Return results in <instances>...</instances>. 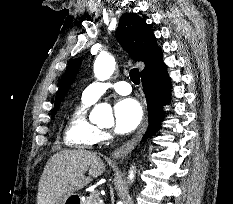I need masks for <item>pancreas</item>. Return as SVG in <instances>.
Here are the masks:
<instances>
[{"mask_svg": "<svg viewBox=\"0 0 233 204\" xmlns=\"http://www.w3.org/2000/svg\"><path fill=\"white\" fill-rule=\"evenodd\" d=\"M81 204H100L98 197L87 196L84 200L81 201Z\"/></svg>", "mask_w": 233, "mask_h": 204, "instance_id": "cf45deb5", "label": "pancreas"}]
</instances>
